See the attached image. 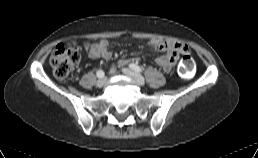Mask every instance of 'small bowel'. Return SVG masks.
<instances>
[{"label": "small bowel", "instance_id": "obj_1", "mask_svg": "<svg viewBox=\"0 0 258 158\" xmlns=\"http://www.w3.org/2000/svg\"><path fill=\"white\" fill-rule=\"evenodd\" d=\"M153 51L162 52L160 56L156 58V63L165 71L170 72L177 64L180 55L187 54L189 52L188 46L175 40H153L149 45ZM89 57L91 59H104L109 60L112 56L108 49V41L101 40L97 43H93L89 46ZM139 57L132 59H123L119 62L120 65H125L131 62H138ZM116 71V66L111 67V72Z\"/></svg>", "mask_w": 258, "mask_h": 158}]
</instances>
